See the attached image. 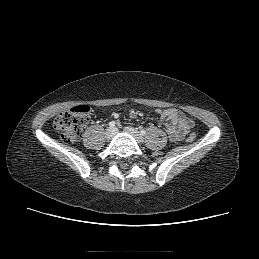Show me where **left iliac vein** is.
I'll return each mask as SVG.
<instances>
[{
  "mask_svg": "<svg viewBox=\"0 0 259 259\" xmlns=\"http://www.w3.org/2000/svg\"><path fill=\"white\" fill-rule=\"evenodd\" d=\"M124 131L128 134H130L131 136L134 137V139L138 142V143H142L143 142V137L141 136V134L134 128L132 127H125Z\"/></svg>",
  "mask_w": 259,
  "mask_h": 259,
  "instance_id": "1",
  "label": "left iliac vein"
}]
</instances>
